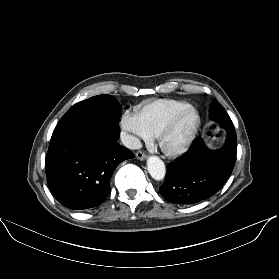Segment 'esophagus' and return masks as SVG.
<instances>
[{"instance_id": "1", "label": "esophagus", "mask_w": 279, "mask_h": 279, "mask_svg": "<svg viewBox=\"0 0 279 279\" xmlns=\"http://www.w3.org/2000/svg\"><path fill=\"white\" fill-rule=\"evenodd\" d=\"M136 157H137V159H139V160H145V159L147 158V154L144 153V152H142V151H138V152L136 153Z\"/></svg>"}]
</instances>
